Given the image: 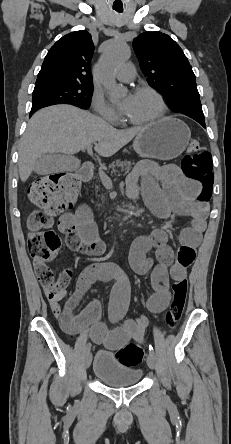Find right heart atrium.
Segmentation results:
<instances>
[{"instance_id":"obj_1","label":"right heart atrium","mask_w":231,"mask_h":444,"mask_svg":"<svg viewBox=\"0 0 231 444\" xmlns=\"http://www.w3.org/2000/svg\"><path fill=\"white\" fill-rule=\"evenodd\" d=\"M92 106L94 111L102 118L116 122L119 118L117 111L110 105L101 92H94L92 96Z\"/></svg>"}]
</instances>
